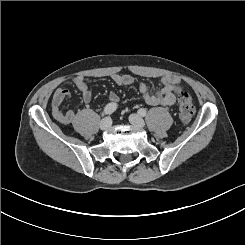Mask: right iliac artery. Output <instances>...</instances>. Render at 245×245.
Here are the masks:
<instances>
[{"mask_svg": "<svg viewBox=\"0 0 245 245\" xmlns=\"http://www.w3.org/2000/svg\"><path fill=\"white\" fill-rule=\"evenodd\" d=\"M117 109V105L115 103H109L106 105L104 108V113L105 115H110L112 114L115 110Z\"/></svg>", "mask_w": 245, "mask_h": 245, "instance_id": "82829eb1", "label": "right iliac artery"}]
</instances>
